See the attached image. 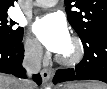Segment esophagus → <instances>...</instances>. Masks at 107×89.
Returning a JSON list of instances; mask_svg holds the SVG:
<instances>
[{"label": "esophagus", "instance_id": "esophagus-1", "mask_svg": "<svg viewBox=\"0 0 107 89\" xmlns=\"http://www.w3.org/2000/svg\"><path fill=\"white\" fill-rule=\"evenodd\" d=\"M53 75V71L51 69H42L41 76L43 79V83H48Z\"/></svg>", "mask_w": 107, "mask_h": 89}]
</instances>
